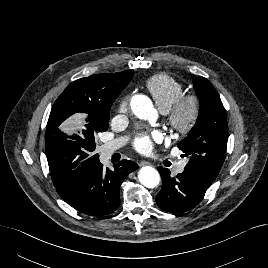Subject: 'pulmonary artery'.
I'll return each instance as SVG.
<instances>
[{
	"label": "pulmonary artery",
	"instance_id": "obj_1",
	"mask_svg": "<svg viewBox=\"0 0 268 268\" xmlns=\"http://www.w3.org/2000/svg\"><path fill=\"white\" fill-rule=\"evenodd\" d=\"M128 139L126 137H118L108 141L102 149L104 155H109L120 147L127 143ZM186 161L178 162L174 165V171L176 173H182L185 169Z\"/></svg>",
	"mask_w": 268,
	"mask_h": 268
}]
</instances>
